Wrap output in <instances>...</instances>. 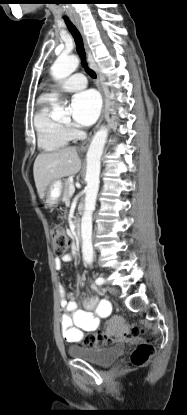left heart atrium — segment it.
<instances>
[{
  "label": "left heart atrium",
  "mask_w": 187,
  "mask_h": 415,
  "mask_svg": "<svg viewBox=\"0 0 187 415\" xmlns=\"http://www.w3.org/2000/svg\"><path fill=\"white\" fill-rule=\"evenodd\" d=\"M101 100L94 90H85L73 96L70 110L74 121L80 126H90L97 119Z\"/></svg>",
  "instance_id": "39dd6f15"
}]
</instances>
